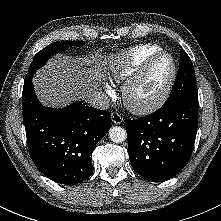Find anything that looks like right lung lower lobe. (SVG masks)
<instances>
[{
    "mask_svg": "<svg viewBox=\"0 0 221 221\" xmlns=\"http://www.w3.org/2000/svg\"><path fill=\"white\" fill-rule=\"evenodd\" d=\"M31 76L22 92L23 121L30 156L45 176L73 185L93 172L90 154L111 126V114L79 102L62 108L43 106L36 97Z\"/></svg>",
    "mask_w": 221,
    "mask_h": 221,
    "instance_id": "obj_1",
    "label": "right lung lower lobe"
}]
</instances>
